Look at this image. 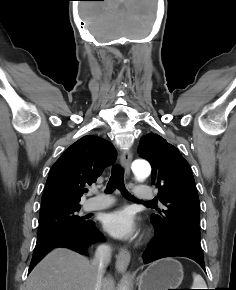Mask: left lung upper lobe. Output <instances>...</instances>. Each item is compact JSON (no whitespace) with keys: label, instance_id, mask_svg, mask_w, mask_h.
<instances>
[{"label":"left lung upper lobe","instance_id":"5c2ea615","mask_svg":"<svg viewBox=\"0 0 236 290\" xmlns=\"http://www.w3.org/2000/svg\"><path fill=\"white\" fill-rule=\"evenodd\" d=\"M138 153L150 162L152 184L167 208L161 215H151L153 226L173 237L185 234L200 241L199 197L188 162L175 146L153 133L140 139Z\"/></svg>","mask_w":236,"mask_h":290}]
</instances>
